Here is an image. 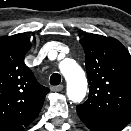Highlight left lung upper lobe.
Wrapping results in <instances>:
<instances>
[{
  "instance_id": "left-lung-upper-lobe-1",
  "label": "left lung upper lobe",
  "mask_w": 131,
  "mask_h": 131,
  "mask_svg": "<svg viewBox=\"0 0 131 131\" xmlns=\"http://www.w3.org/2000/svg\"><path fill=\"white\" fill-rule=\"evenodd\" d=\"M80 43L90 92L77 114L91 131H120L131 121V56L112 37L89 34Z\"/></svg>"
}]
</instances>
